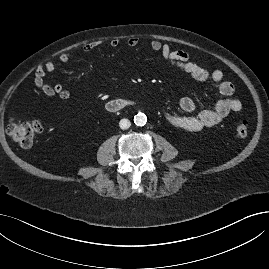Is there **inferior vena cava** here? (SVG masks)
Returning a JSON list of instances; mask_svg holds the SVG:
<instances>
[{
  "label": "inferior vena cava",
  "instance_id": "inferior-vena-cava-1",
  "mask_svg": "<svg viewBox=\"0 0 269 269\" xmlns=\"http://www.w3.org/2000/svg\"><path fill=\"white\" fill-rule=\"evenodd\" d=\"M131 123L128 119H121L119 122V126L121 129H128Z\"/></svg>",
  "mask_w": 269,
  "mask_h": 269
}]
</instances>
